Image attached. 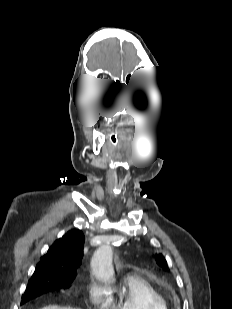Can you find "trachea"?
Wrapping results in <instances>:
<instances>
[{"instance_id": "trachea-1", "label": "trachea", "mask_w": 232, "mask_h": 309, "mask_svg": "<svg viewBox=\"0 0 232 309\" xmlns=\"http://www.w3.org/2000/svg\"><path fill=\"white\" fill-rule=\"evenodd\" d=\"M109 141L113 146H117L118 145V138L116 136V134L114 132H111L109 134Z\"/></svg>"}]
</instances>
